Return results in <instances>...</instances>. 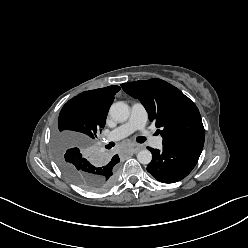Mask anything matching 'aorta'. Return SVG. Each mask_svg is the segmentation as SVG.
<instances>
[{
	"instance_id": "aorta-1",
	"label": "aorta",
	"mask_w": 248,
	"mask_h": 248,
	"mask_svg": "<svg viewBox=\"0 0 248 248\" xmlns=\"http://www.w3.org/2000/svg\"><path fill=\"white\" fill-rule=\"evenodd\" d=\"M109 114L115 121L124 122L130 115L129 106L122 101L115 102L111 105ZM137 160L141 164H149L152 160V154L147 149L141 150L137 154Z\"/></svg>"
}]
</instances>
